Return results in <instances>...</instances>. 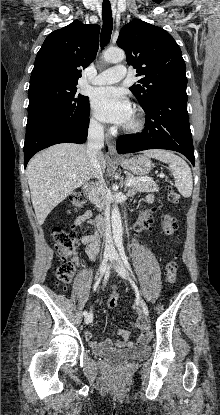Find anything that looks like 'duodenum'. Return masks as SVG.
<instances>
[{"label": "duodenum", "instance_id": "410a0bca", "mask_svg": "<svg viewBox=\"0 0 220 415\" xmlns=\"http://www.w3.org/2000/svg\"><path fill=\"white\" fill-rule=\"evenodd\" d=\"M84 189L90 197H93L95 195V192H96V185L95 184H89V185H86ZM96 223H97L99 237L104 236L105 230H106V220H105V218L103 216H98V218L96 220Z\"/></svg>", "mask_w": 220, "mask_h": 415}]
</instances>
